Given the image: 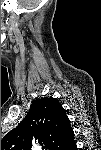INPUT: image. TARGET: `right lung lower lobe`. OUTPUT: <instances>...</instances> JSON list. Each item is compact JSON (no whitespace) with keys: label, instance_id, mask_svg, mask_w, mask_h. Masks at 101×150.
Returning <instances> with one entry per match:
<instances>
[{"label":"right lung lower lobe","instance_id":"1","mask_svg":"<svg viewBox=\"0 0 101 150\" xmlns=\"http://www.w3.org/2000/svg\"><path fill=\"white\" fill-rule=\"evenodd\" d=\"M68 147H69L70 150H72V149H75V148H76V145H75V143L73 142V143H71V145H69Z\"/></svg>","mask_w":101,"mask_h":150}]
</instances>
